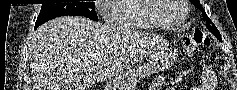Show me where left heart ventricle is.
<instances>
[{"label":"left heart ventricle","mask_w":237,"mask_h":90,"mask_svg":"<svg viewBox=\"0 0 237 90\" xmlns=\"http://www.w3.org/2000/svg\"><path fill=\"white\" fill-rule=\"evenodd\" d=\"M157 1H176L177 0H157ZM158 20L166 25L173 26L176 25L182 17V9L180 5H169L167 10H161L160 13H155Z\"/></svg>","instance_id":"obj_1"}]
</instances>
